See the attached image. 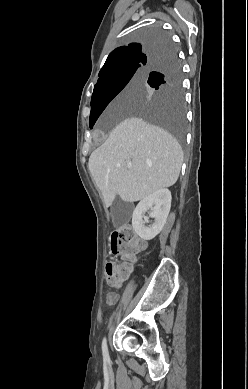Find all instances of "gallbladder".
<instances>
[{
    "mask_svg": "<svg viewBox=\"0 0 248 389\" xmlns=\"http://www.w3.org/2000/svg\"><path fill=\"white\" fill-rule=\"evenodd\" d=\"M131 204L123 202L120 197H117L113 202V211L118 219V223H124L129 217Z\"/></svg>",
    "mask_w": 248,
    "mask_h": 389,
    "instance_id": "gallbladder-1",
    "label": "gallbladder"
}]
</instances>
